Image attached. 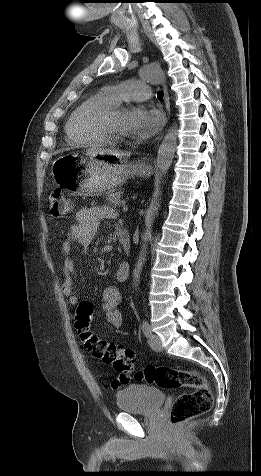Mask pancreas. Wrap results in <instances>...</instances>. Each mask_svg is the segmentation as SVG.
<instances>
[{
    "label": "pancreas",
    "mask_w": 261,
    "mask_h": 476,
    "mask_svg": "<svg viewBox=\"0 0 261 476\" xmlns=\"http://www.w3.org/2000/svg\"><path fill=\"white\" fill-rule=\"evenodd\" d=\"M106 200L113 206L119 207L124 204V201L121 200V192L108 193Z\"/></svg>",
    "instance_id": "cf45deb5"
}]
</instances>
